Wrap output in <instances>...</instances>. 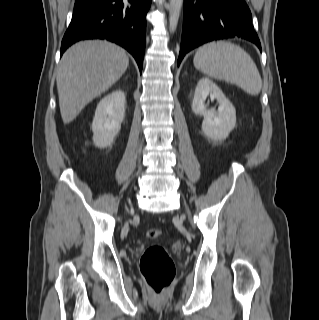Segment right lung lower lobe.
<instances>
[{"instance_id":"1","label":"right lung lower lobe","mask_w":319,"mask_h":320,"mask_svg":"<svg viewBox=\"0 0 319 320\" xmlns=\"http://www.w3.org/2000/svg\"><path fill=\"white\" fill-rule=\"evenodd\" d=\"M151 0H76L60 55L83 39H107L127 49L142 71L146 14Z\"/></svg>"}]
</instances>
